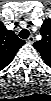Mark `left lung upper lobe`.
Returning <instances> with one entry per match:
<instances>
[{
	"label": "left lung upper lobe",
	"mask_w": 51,
	"mask_h": 101,
	"mask_svg": "<svg viewBox=\"0 0 51 101\" xmlns=\"http://www.w3.org/2000/svg\"><path fill=\"white\" fill-rule=\"evenodd\" d=\"M42 39L34 43V48L38 50L44 61L51 63V20H45L40 29Z\"/></svg>",
	"instance_id": "5c2ea615"
}]
</instances>
